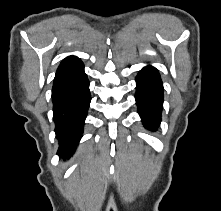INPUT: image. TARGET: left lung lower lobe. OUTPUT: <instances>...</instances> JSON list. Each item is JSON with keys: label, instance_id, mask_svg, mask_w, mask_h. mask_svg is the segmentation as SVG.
<instances>
[{"label": "left lung lower lobe", "instance_id": "left-lung-lower-lobe-1", "mask_svg": "<svg viewBox=\"0 0 221 211\" xmlns=\"http://www.w3.org/2000/svg\"><path fill=\"white\" fill-rule=\"evenodd\" d=\"M135 99L144 126L156 130L163 108V84L156 68L147 66L138 73Z\"/></svg>", "mask_w": 221, "mask_h": 211}]
</instances>
